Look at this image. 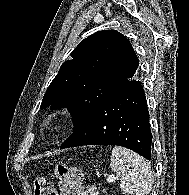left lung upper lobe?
<instances>
[{
  "label": "left lung upper lobe",
  "mask_w": 189,
  "mask_h": 195,
  "mask_svg": "<svg viewBox=\"0 0 189 195\" xmlns=\"http://www.w3.org/2000/svg\"><path fill=\"white\" fill-rule=\"evenodd\" d=\"M71 56L49 85L40 108H67L77 129L111 94L134 80L139 59L115 30L88 36Z\"/></svg>",
  "instance_id": "1"
}]
</instances>
